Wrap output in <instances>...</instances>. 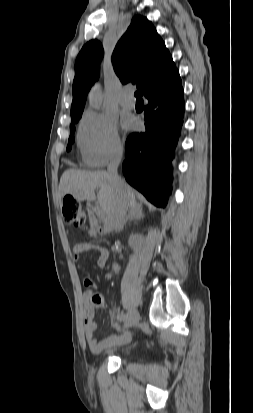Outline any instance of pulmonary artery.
Instances as JSON below:
<instances>
[{"label": "pulmonary artery", "instance_id": "1", "mask_svg": "<svg viewBox=\"0 0 253 413\" xmlns=\"http://www.w3.org/2000/svg\"><path fill=\"white\" fill-rule=\"evenodd\" d=\"M120 104L124 108L132 109L135 107V98L133 97L132 90L124 89L120 95Z\"/></svg>", "mask_w": 253, "mask_h": 413}]
</instances>
